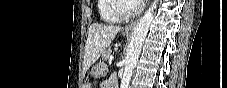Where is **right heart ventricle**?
Wrapping results in <instances>:
<instances>
[{
  "mask_svg": "<svg viewBox=\"0 0 227 88\" xmlns=\"http://www.w3.org/2000/svg\"><path fill=\"white\" fill-rule=\"evenodd\" d=\"M113 0H97L98 12L100 18L109 23H117L119 19L112 13L110 9Z\"/></svg>",
  "mask_w": 227,
  "mask_h": 88,
  "instance_id": "right-heart-ventricle-1",
  "label": "right heart ventricle"
}]
</instances>
